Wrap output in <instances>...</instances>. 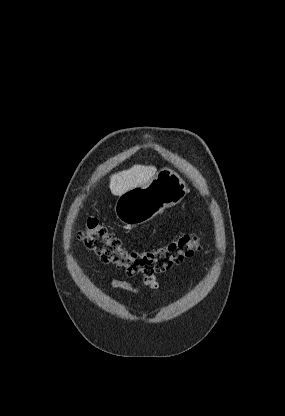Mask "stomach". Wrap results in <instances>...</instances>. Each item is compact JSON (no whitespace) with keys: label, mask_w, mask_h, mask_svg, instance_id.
I'll return each mask as SVG.
<instances>
[{"label":"stomach","mask_w":285,"mask_h":416,"mask_svg":"<svg viewBox=\"0 0 285 416\" xmlns=\"http://www.w3.org/2000/svg\"><path fill=\"white\" fill-rule=\"evenodd\" d=\"M186 194L187 186L179 174L163 168L145 186H138L119 196L115 214L123 224L139 226L152 220L165 208L179 204Z\"/></svg>","instance_id":"0dacf381"}]
</instances>
